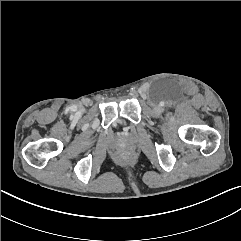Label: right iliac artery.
<instances>
[{
    "mask_svg": "<svg viewBox=\"0 0 241 241\" xmlns=\"http://www.w3.org/2000/svg\"><path fill=\"white\" fill-rule=\"evenodd\" d=\"M76 109H77L76 106L70 107V111L73 112V113L76 111Z\"/></svg>",
    "mask_w": 241,
    "mask_h": 241,
    "instance_id": "82829eb1",
    "label": "right iliac artery"
}]
</instances>
